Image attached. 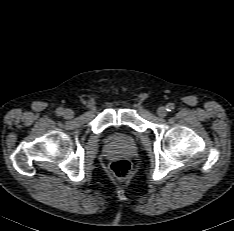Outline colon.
<instances>
[{
    "label": "colon",
    "mask_w": 234,
    "mask_h": 231,
    "mask_svg": "<svg viewBox=\"0 0 234 231\" xmlns=\"http://www.w3.org/2000/svg\"><path fill=\"white\" fill-rule=\"evenodd\" d=\"M114 171L122 178H125L130 173V165L126 161H119L113 166Z\"/></svg>",
    "instance_id": "1"
}]
</instances>
